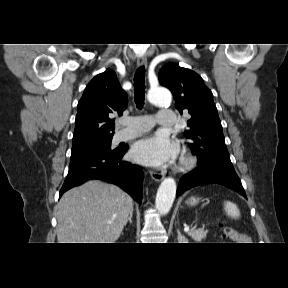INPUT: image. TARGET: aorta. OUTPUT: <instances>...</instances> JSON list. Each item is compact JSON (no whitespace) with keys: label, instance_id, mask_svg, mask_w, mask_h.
Returning <instances> with one entry per match:
<instances>
[{"label":"aorta","instance_id":"obj_1","mask_svg":"<svg viewBox=\"0 0 288 288\" xmlns=\"http://www.w3.org/2000/svg\"><path fill=\"white\" fill-rule=\"evenodd\" d=\"M148 100L159 106H169L172 100L171 93L164 88L151 89L148 92ZM176 182L173 178H165L157 191L155 206L158 212L166 215L174 202L176 195Z\"/></svg>","mask_w":288,"mask_h":288}]
</instances>
